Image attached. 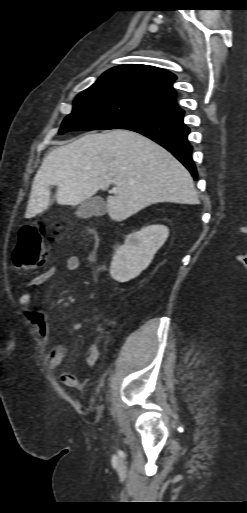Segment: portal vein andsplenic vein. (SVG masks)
<instances>
[{
	"label": "portal vein and splenic vein",
	"mask_w": 247,
	"mask_h": 513,
	"mask_svg": "<svg viewBox=\"0 0 247 513\" xmlns=\"http://www.w3.org/2000/svg\"><path fill=\"white\" fill-rule=\"evenodd\" d=\"M117 190H118V188H117V187H114V188L112 189V191H113V192H117Z\"/></svg>",
	"instance_id": "portal-vein-and-splenic-vein-1"
}]
</instances>
